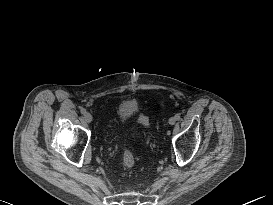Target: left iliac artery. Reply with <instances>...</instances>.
<instances>
[{
    "label": "left iliac artery",
    "instance_id": "left-iliac-artery-1",
    "mask_svg": "<svg viewBox=\"0 0 273 205\" xmlns=\"http://www.w3.org/2000/svg\"><path fill=\"white\" fill-rule=\"evenodd\" d=\"M176 120H180V114L175 115Z\"/></svg>",
    "mask_w": 273,
    "mask_h": 205
}]
</instances>
